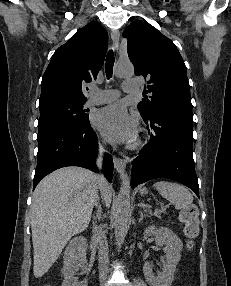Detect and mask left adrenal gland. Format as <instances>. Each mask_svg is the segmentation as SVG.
<instances>
[{"instance_id": "left-adrenal-gland-1", "label": "left adrenal gland", "mask_w": 231, "mask_h": 286, "mask_svg": "<svg viewBox=\"0 0 231 286\" xmlns=\"http://www.w3.org/2000/svg\"><path fill=\"white\" fill-rule=\"evenodd\" d=\"M139 213H140V219H139V222H141L142 221V219L146 216L145 214H143V211L142 210H140L139 211Z\"/></svg>"}]
</instances>
